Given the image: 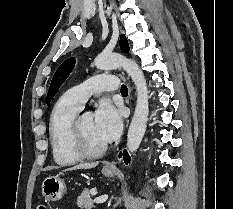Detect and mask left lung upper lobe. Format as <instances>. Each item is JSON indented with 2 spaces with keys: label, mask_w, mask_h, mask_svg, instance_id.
I'll return each mask as SVG.
<instances>
[{
  "label": "left lung upper lobe",
  "mask_w": 233,
  "mask_h": 209,
  "mask_svg": "<svg viewBox=\"0 0 233 209\" xmlns=\"http://www.w3.org/2000/svg\"><path fill=\"white\" fill-rule=\"evenodd\" d=\"M120 49L123 53H128L129 52V44L128 41L125 37L124 34L121 35L120 37ZM75 66V59L74 58H69L65 60L57 69L55 72L50 87L49 91L47 94V105H49L50 101L52 100L53 96L55 93L58 91L60 86L63 84V82L67 79L69 74L72 72L73 68Z\"/></svg>",
  "instance_id": "left-lung-upper-lobe-1"
}]
</instances>
